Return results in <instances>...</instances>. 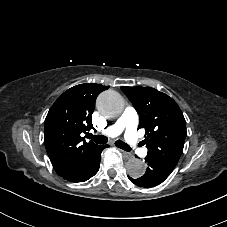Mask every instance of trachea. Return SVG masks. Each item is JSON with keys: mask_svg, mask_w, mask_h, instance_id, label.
Returning a JSON list of instances; mask_svg holds the SVG:
<instances>
[{"mask_svg": "<svg viewBox=\"0 0 227 227\" xmlns=\"http://www.w3.org/2000/svg\"><path fill=\"white\" fill-rule=\"evenodd\" d=\"M88 138L92 139L95 143L97 144H106L108 139L106 136H103V135H93L91 133H88ZM115 145L118 147V148H121L125 151H131L132 148L126 144L125 142L121 141V140H117L115 142Z\"/></svg>", "mask_w": 227, "mask_h": 227, "instance_id": "obj_1", "label": "trachea"}]
</instances>
